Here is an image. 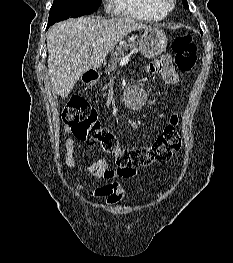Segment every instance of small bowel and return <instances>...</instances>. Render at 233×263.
Wrapping results in <instances>:
<instances>
[{"label":"small bowel","instance_id":"c3829d8e","mask_svg":"<svg viewBox=\"0 0 233 263\" xmlns=\"http://www.w3.org/2000/svg\"><path fill=\"white\" fill-rule=\"evenodd\" d=\"M147 71L150 73H158L162 76L164 81L168 84H178L179 75L176 72L171 59L169 56L164 55L149 64ZM65 132H70L69 128L65 129ZM65 153L64 160L68 168L74 169L75 163L73 160V148L74 141L72 139H67L65 141ZM95 179H106L113 180L118 177H129L132 175L121 174L118 169H112L105 160H99L93 166L86 170ZM93 198L103 199L106 204L114 205L118 203L124 196V189L118 181H111L106 185L98 187L88 193Z\"/></svg>","mask_w":233,"mask_h":263}]
</instances>
